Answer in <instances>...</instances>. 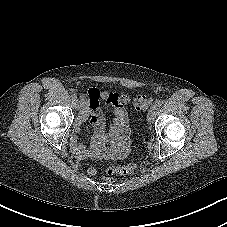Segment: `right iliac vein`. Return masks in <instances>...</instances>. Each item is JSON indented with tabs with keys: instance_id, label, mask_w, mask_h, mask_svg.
<instances>
[{
	"instance_id": "right-iliac-vein-1",
	"label": "right iliac vein",
	"mask_w": 227,
	"mask_h": 227,
	"mask_svg": "<svg viewBox=\"0 0 227 227\" xmlns=\"http://www.w3.org/2000/svg\"><path fill=\"white\" fill-rule=\"evenodd\" d=\"M74 106L77 110H79L81 108V102L78 99L74 100Z\"/></svg>"
}]
</instances>
